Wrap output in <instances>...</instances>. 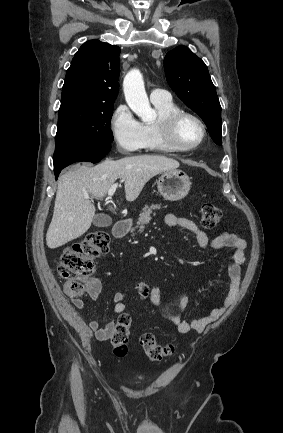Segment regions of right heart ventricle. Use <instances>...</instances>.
Here are the masks:
<instances>
[{
  "mask_svg": "<svg viewBox=\"0 0 283 433\" xmlns=\"http://www.w3.org/2000/svg\"><path fill=\"white\" fill-rule=\"evenodd\" d=\"M153 105L156 110V119L142 124L148 143L156 145L161 151L171 152L172 150L167 147L163 139V125L166 118L180 108L172 99L153 103Z\"/></svg>",
  "mask_w": 283,
  "mask_h": 433,
  "instance_id": "right-heart-ventricle-1",
  "label": "right heart ventricle"
}]
</instances>
